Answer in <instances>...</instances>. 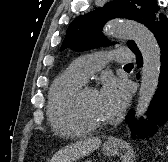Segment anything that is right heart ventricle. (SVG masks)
I'll return each instance as SVG.
<instances>
[{"label": "right heart ventricle", "mask_w": 168, "mask_h": 162, "mask_svg": "<svg viewBox=\"0 0 168 162\" xmlns=\"http://www.w3.org/2000/svg\"><path fill=\"white\" fill-rule=\"evenodd\" d=\"M84 84L67 68L53 81L47 103V116L56 134L64 137H77L87 132L77 122L71 111V101L76 91Z\"/></svg>", "instance_id": "right-heart-ventricle-1"}]
</instances>
